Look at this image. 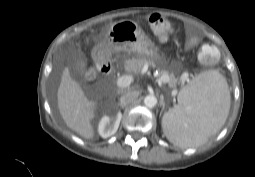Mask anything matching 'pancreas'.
Instances as JSON below:
<instances>
[{
  "label": "pancreas",
  "instance_id": "1",
  "mask_svg": "<svg viewBox=\"0 0 255 177\" xmlns=\"http://www.w3.org/2000/svg\"><path fill=\"white\" fill-rule=\"evenodd\" d=\"M153 64V61L147 59L146 57H137L129 59L125 62V70L129 73L139 72L145 65ZM161 80L164 83H168L171 88H175L178 80L175 78L174 74L167 71L161 70L159 73Z\"/></svg>",
  "mask_w": 255,
  "mask_h": 177
}]
</instances>
